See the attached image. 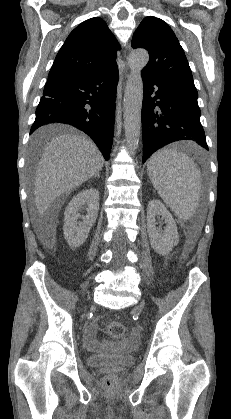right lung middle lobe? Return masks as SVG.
I'll return each mask as SVG.
<instances>
[{"instance_id":"dd1d6c3e","label":"right lung middle lobe","mask_w":231,"mask_h":419,"mask_svg":"<svg viewBox=\"0 0 231 419\" xmlns=\"http://www.w3.org/2000/svg\"><path fill=\"white\" fill-rule=\"evenodd\" d=\"M40 143H41V142H40ZM40 143H39L38 141H34V142H33V144H34V146H35V147H39V146H40Z\"/></svg>"}]
</instances>
